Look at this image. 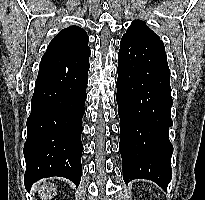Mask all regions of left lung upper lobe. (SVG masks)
Segmentation results:
<instances>
[{
    "instance_id": "left-lung-upper-lobe-1",
    "label": "left lung upper lobe",
    "mask_w": 205,
    "mask_h": 200,
    "mask_svg": "<svg viewBox=\"0 0 205 200\" xmlns=\"http://www.w3.org/2000/svg\"><path fill=\"white\" fill-rule=\"evenodd\" d=\"M121 40H160V38L141 20H135ZM161 41V40H160Z\"/></svg>"
}]
</instances>
